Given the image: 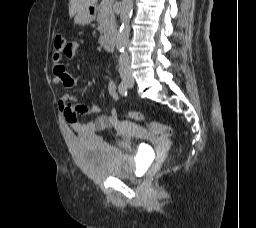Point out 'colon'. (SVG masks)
<instances>
[{
	"mask_svg": "<svg viewBox=\"0 0 256 228\" xmlns=\"http://www.w3.org/2000/svg\"><path fill=\"white\" fill-rule=\"evenodd\" d=\"M67 42L64 37L56 36L54 39V52L57 55H61L67 48ZM130 118L134 120H142L143 115L138 111H132L129 113ZM148 130L160 137H169L172 135V128L169 125L161 124L153 121L147 123Z\"/></svg>",
	"mask_w": 256,
	"mask_h": 228,
	"instance_id": "colon-1",
	"label": "colon"
}]
</instances>
